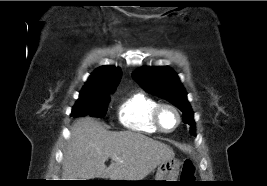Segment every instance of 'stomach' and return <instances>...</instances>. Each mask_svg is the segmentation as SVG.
<instances>
[{"label":"stomach","instance_id":"stomach-1","mask_svg":"<svg viewBox=\"0 0 267 186\" xmlns=\"http://www.w3.org/2000/svg\"><path fill=\"white\" fill-rule=\"evenodd\" d=\"M180 161L174 157L168 160L163 161L157 169L153 185L157 186H166L171 185V182L165 181H177L179 176Z\"/></svg>","mask_w":267,"mask_h":186}]
</instances>
